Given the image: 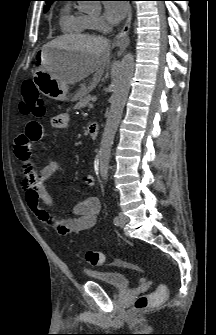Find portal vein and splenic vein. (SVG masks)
I'll use <instances>...</instances> for the list:
<instances>
[{
  "mask_svg": "<svg viewBox=\"0 0 216 335\" xmlns=\"http://www.w3.org/2000/svg\"><path fill=\"white\" fill-rule=\"evenodd\" d=\"M89 108H93V104L91 103V104H89Z\"/></svg>",
  "mask_w": 216,
  "mask_h": 335,
  "instance_id": "obj_1",
  "label": "portal vein and splenic vein"
}]
</instances>
